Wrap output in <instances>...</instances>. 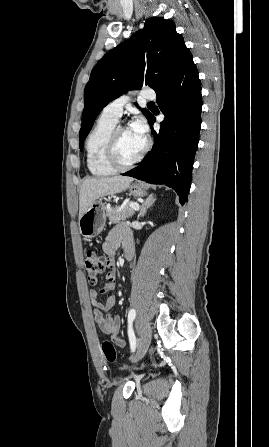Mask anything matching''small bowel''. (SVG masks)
Listing matches in <instances>:
<instances>
[{"mask_svg": "<svg viewBox=\"0 0 269 447\" xmlns=\"http://www.w3.org/2000/svg\"><path fill=\"white\" fill-rule=\"evenodd\" d=\"M122 243L124 251H133V242L130 234L124 226L118 225L111 229L103 243V251L108 255H114L118 246ZM107 282L99 290L90 292V302L94 307V319L103 334L108 335L111 340L118 346L124 347L125 342L119 336L121 329V320L118 316H111L110 312L115 303V296L112 292L115 289V273L111 270L106 275ZM105 294V298L101 300L100 295Z\"/></svg>", "mask_w": 269, "mask_h": 447, "instance_id": "obj_1", "label": "small bowel"}]
</instances>
